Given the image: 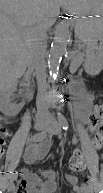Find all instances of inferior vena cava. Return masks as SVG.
<instances>
[{
  "instance_id": "inferior-vena-cava-1",
  "label": "inferior vena cava",
  "mask_w": 103,
  "mask_h": 193,
  "mask_svg": "<svg viewBox=\"0 0 103 193\" xmlns=\"http://www.w3.org/2000/svg\"><path fill=\"white\" fill-rule=\"evenodd\" d=\"M46 35L43 30L36 33L30 44L31 58L35 67V74L38 84V94L36 99L37 117L46 118L49 115V107L46 101L48 83L46 81Z\"/></svg>"
}]
</instances>
